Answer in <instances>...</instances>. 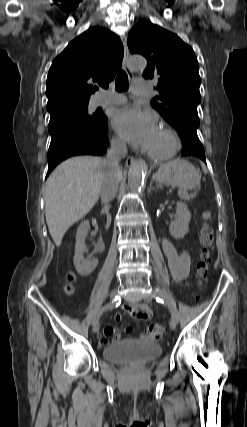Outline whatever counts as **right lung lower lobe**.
I'll return each instance as SVG.
<instances>
[{
	"mask_svg": "<svg viewBox=\"0 0 247 427\" xmlns=\"http://www.w3.org/2000/svg\"><path fill=\"white\" fill-rule=\"evenodd\" d=\"M48 130L51 143L48 150V172L61 161L75 155H102L108 147V122L91 125L66 115L50 116Z\"/></svg>",
	"mask_w": 247,
	"mask_h": 427,
	"instance_id": "1",
	"label": "right lung lower lobe"
}]
</instances>
